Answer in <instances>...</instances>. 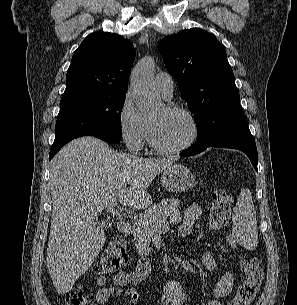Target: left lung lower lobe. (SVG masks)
<instances>
[{
    "label": "left lung lower lobe",
    "instance_id": "0a47b994",
    "mask_svg": "<svg viewBox=\"0 0 297 305\" xmlns=\"http://www.w3.org/2000/svg\"><path fill=\"white\" fill-rule=\"evenodd\" d=\"M208 147H224L243 151L257 170L258 154L255 140L249 130L245 118L239 119L222 130L214 139L203 137L199 144H194L181 156L196 155Z\"/></svg>",
    "mask_w": 297,
    "mask_h": 305
}]
</instances>
